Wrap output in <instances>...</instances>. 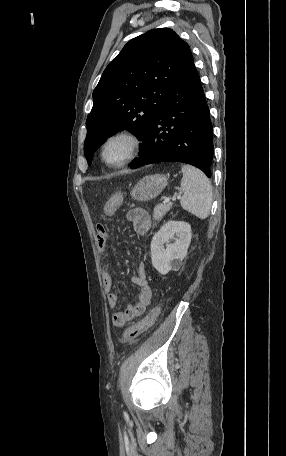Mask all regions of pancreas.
Listing matches in <instances>:
<instances>
[{"mask_svg": "<svg viewBox=\"0 0 286 456\" xmlns=\"http://www.w3.org/2000/svg\"><path fill=\"white\" fill-rule=\"evenodd\" d=\"M172 203H163L156 205L153 210V219L155 221H160L163 216L171 209Z\"/></svg>", "mask_w": 286, "mask_h": 456, "instance_id": "1", "label": "pancreas"}]
</instances>
